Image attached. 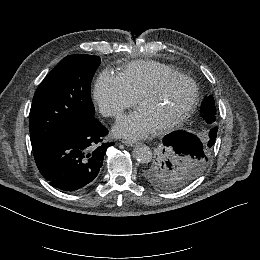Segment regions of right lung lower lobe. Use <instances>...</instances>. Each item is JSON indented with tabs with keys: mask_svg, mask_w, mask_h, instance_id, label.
Listing matches in <instances>:
<instances>
[{
	"mask_svg": "<svg viewBox=\"0 0 260 260\" xmlns=\"http://www.w3.org/2000/svg\"><path fill=\"white\" fill-rule=\"evenodd\" d=\"M108 130L94 117L75 132L33 149L36 165L53 187L77 192L98 176L103 158L113 142H103Z\"/></svg>",
	"mask_w": 260,
	"mask_h": 260,
	"instance_id": "obj_1",
	"label": "right lung lower lobe"
}]
</instances>
